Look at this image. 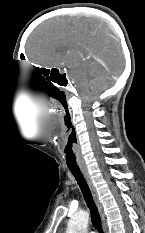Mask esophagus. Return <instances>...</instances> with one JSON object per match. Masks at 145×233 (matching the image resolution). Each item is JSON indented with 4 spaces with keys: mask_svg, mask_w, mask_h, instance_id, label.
Masks as SVG:
<instances>
[{
    "mask_svg": "<svg viewBox=\"0 0 145 233\" xmlns=\"http://www.w3.org/2000/svg\"><path fill=\"white\" fill-rule=\"evenodd\" d=\"M81 170H82V173H83V175H84V177H85V180H86V182H87V184H88V187H89V189H90V191H91V194H92V196H93V199H94V201H95L97 207H98L99 209H101V205H100V202H99L97 190H96V188H95V186H94V184H93V181H92V179H91V177H90L88 171H87L86 169H84V168L81 169Z\"/></svg>",
    "mask_w": 145,
    "mask_h": 233,
    "instance_id": "obj_1",
    "label": "esophagus"
}]
</instances>
